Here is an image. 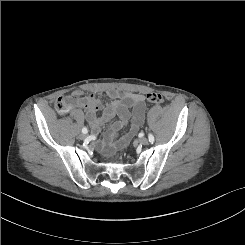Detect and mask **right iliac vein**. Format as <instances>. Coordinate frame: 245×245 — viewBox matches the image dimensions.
I'll use <instances>...</instances> for the list:
<instances>
[{"label": "right iliac vein", "mask_w": 245, "mask_h": 245, "mask_svg": "<svg viewBox=\"0 0 245 245\" xmlns=\"http://www.w3.org/2000/svg\"><path fill=\"white\" fill-rule=\"evenodd\" d=\"M79 138H80L81 140H83V139L86 138V135H85V134H80V135H79Z\"/></svg>", "instance_id": "1"}]
</instances>
